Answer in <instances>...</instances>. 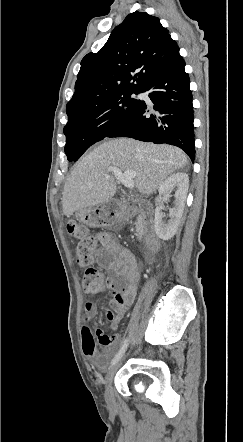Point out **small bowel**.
Wrapping results in <instances>:
<instances>
[{"label":"small bowel","mask_w":243,"mask_h":442,"mask_svg":"<svg viewBox=\"0 0 243 442\" xmlns=\"http://www.w3.org/2000/svg\"><path fill=\"white\" fill-rule=\"evenodd\" d=\"M96 236L101 250L97 252L95 261L101 267L113 271V275L108 280L112 298L109 300L110 309L105 311V317L112 327L116 328L136 298L140 267L134 254L111 234L98 232ZM96 315L97 305L92 301L86 302L81 327L82 350L84 355L91 359L95 368L104 369L118 346L120 338L106 334L102 328H97L93 334L87 323ZM94 335L104 348L103 353L97 350Z\"/></svg>","instance_id":"obj_1"}]
</instances>
